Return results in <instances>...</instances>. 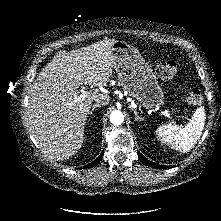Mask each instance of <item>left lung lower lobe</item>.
Returning a JSON list of instances; mask_svg holds the SVG:
<instances>
[{
	"instance_id": "1",
	"label": "left lung lower lobe",
	"mask_w": 221,
	"mask_h": 221,
	"mask_svg": "<svg viewBox=\"0 0 221 221\" xmlns=\"http://www.w3.org/2000/svg\"><path fill=\"white\" fill-rule=\"evenodd\" d=\"M138 155L141 159V161L147 165V166H150V167H153V168H157V169H166V168H171L169 166H163V165H159V164H156L154 162H151L149 160H147L145 157H143L139 152H138Z\"/></svg>"
}]
</instances>
